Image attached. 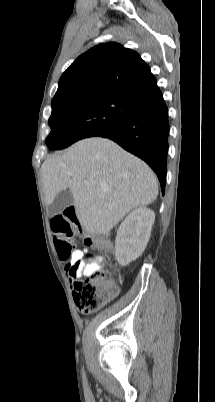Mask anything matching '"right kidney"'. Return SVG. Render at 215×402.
<instances>
[{"instance_id":"1","label":"right kidney","mask_w":215,"mask_h":402,"mask_svg":"<svg viewBox=\"0 0 215 402\" xmlns=\"http://www.w3.org/2000/svg\"><path fill=\"white\" fill-rule=\"evenodd\" d=\"M155 213L145 207L134 209L121 223L115 240V257L122 266L136 260L150 238Z\"/></svg>"}]
</instances>
